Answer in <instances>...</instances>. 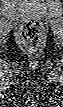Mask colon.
<instances>
[{
  "label": "colon",
  "mask_w": 63,
  "mask_h": 107,
  "mask_svg": "<svg viewBox=\"0 0 63 107\" xmlns=\"http://www.w3.org/2000/svg\"><path fill=\"white\" fill-rule=\"evenodd\" d=\"M44 28L38 21L24 24L19 31V40L30 49L35 48L43 39Z\"/></svg>",
  "instance_id": "1"
}]
</instances>
